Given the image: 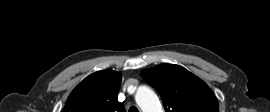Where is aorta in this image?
<instances>
[{
  "label": "aorta",
  "instance_id": "aorta-1",
  "mask_svg": "<svg viewBox=\"0 0 270 112\" xmlns=\"http://www.w3.org/2000/svg\"><path fill=\"white\" fill-rule=\"evenodd\" d=\"M135 101L143 112H164L156 94L146 86H140Z\"/></svg>",
  "mask_w": 270,
  "mask_h": 112
}]
</instances>
